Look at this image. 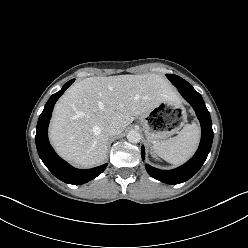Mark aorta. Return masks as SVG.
Masks as SVG:
<instances>
[{"instance_id":"aorta-1","label":"aorta","mask_w":248,"mask_h":248,"mask_svg":"<svg viewBox=\"0 0 248 248\" xmlns=\"http://www.w3.org/2000/svg\"><path fill=\"white\" fill-rule=\"evenodd\" d=\"M127 139H128L129 142L138 143L141 140V134L136 130H131L127 134Z\"/></svg>"}]
</instances>
